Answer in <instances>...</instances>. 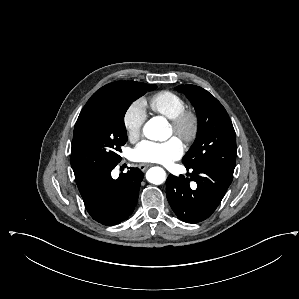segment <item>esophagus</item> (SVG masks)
I'll return each instance as SVG.
<instances>
[{
    "label": "esophagus",
    "instance_id": "34e87169",
    "mask_svg": "<svg viewBox=\"0 0 299 299\" xmlns=\"http://www.w3.org/2000/svg\"><path fill=\"white\" fill-rule=\"evenodd\" d=\"M150 166V164L147 163H142L139 164L138 167L140 168V170L145 171L148 167Z\"/></svg>",
    "mask_w": 299,
    "mask_h": 299
}]
</instances>
